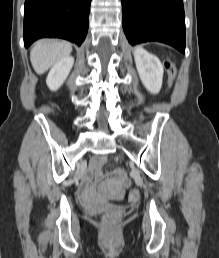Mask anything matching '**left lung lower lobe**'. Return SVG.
I'll use <instances>...</instances> for the list:
<instances>
[{
	"label": "left lung lower lobe",
	"instance_id": "left-lung-lower-lobe-1",
	"mask_svg": "<svg viewBox=\"0 0 219 258\" xmlns=\"http://www.w3.org/2000/svg\"><path fill=\"white\" fill-rule=\"evenodd\" d=\"M122 11L131 45L158 41L185 53L183 0H122Z\"/></svg>",
	"mask_w": 219,
	"mask_h": 258
}]
</instances>
